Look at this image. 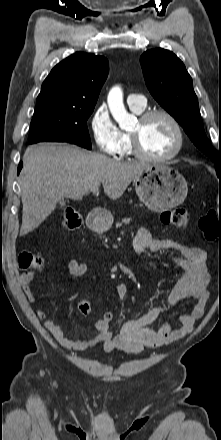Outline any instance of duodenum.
<instances>
[{
    "instance_id": "1",
    "label": "duodenum",
    "mask_w": 221,
    "mask_h": 440,
    "mask_svg": "<svg viewBox=\"0 0 221 440\" xmlns=\"http://www.w3.org/2000/svg\"><path fill=\"white\" fill-rule=\"evenodd\" d=\"M87 223L92 229H98L107 223V215L96 210L88 215Z\"/></svg>"
}]
</instances>
